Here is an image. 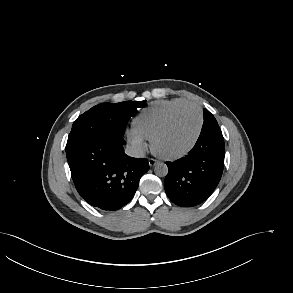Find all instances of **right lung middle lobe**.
I'll return each instance as SVG.
<instances>
[{"label": "right lung middle lobe", "mask_w": 293, "mask_h": 293, "mask_svg": "<svg viewBox=\"0 0 293 293\" xmlns=\"http://www.w3.org/2000/svg\"><path fill=\"white\" fill-rule=\"evenodd\" d=\"M145 102L146 100L102 103L91 108L74 121L68 136L66 152L101 135L124 136L130 117Z\"/></svg>", "instance_id": "right-lung-middle-lobe-1"}]
</instances>
